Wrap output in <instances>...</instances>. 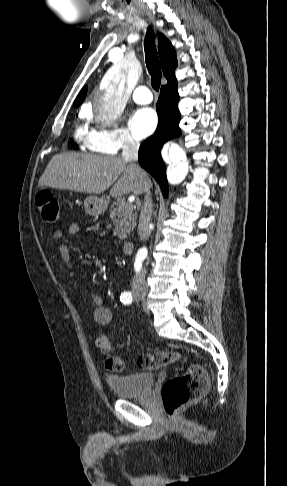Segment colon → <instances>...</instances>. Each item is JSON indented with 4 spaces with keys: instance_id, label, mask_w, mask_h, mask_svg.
I'll use <instances>...</instances> for the list:
<instances>
[{
    "instance_id": "5ec220e1",
    "label": "colon",
    "mask_w": 287,
    "mask_h": 486,
    "mask_svg": "<svg viewBox=\"0 0 287 486\" xmlns=\"http://www.w3.org/2000/svg\"><path fill=\"white\" fill-rule=\"evenodd\" d=\"M35 201L44 221L53 223L58 219L59 203L50 190L39 189ZM95 346L105 354L104 365L107 370L120 371L123 369L122 358L110 353V341L106 335L98 334L95 338ZM181 358L182 355L176 351H159L140 355L137 359V366L143 370L159 369ZM208 386L207 373L198 365L191 366L184 374L168 379L162 387V400L167 415L174 419L182 407L203 395Z\"/></svg>"
}]
</instances>
